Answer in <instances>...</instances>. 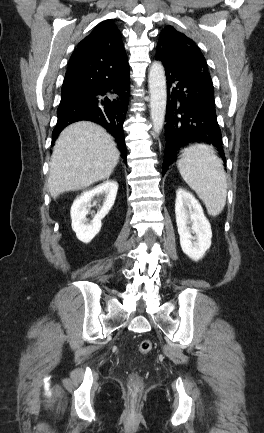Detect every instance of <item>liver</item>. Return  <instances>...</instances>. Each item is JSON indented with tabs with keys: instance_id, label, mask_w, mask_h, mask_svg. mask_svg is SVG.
<instances>
[{
	"instance_id": "obj_1",
	"label": "liver",
	"mask_w": 264,
	"mask_h": 433,
	"mask_svg": "<svg viewBox=\"0 0 264 433\" xmlns=\"http://www.w3.org/2000/svg\"><path fill=\"white\" fill-rule=\"evenodd\" d=\"M119 157L113 138L99 125L88 121L69 125L53 148L48 178L51 196L109 178Z\"/></svg>"
}]
</instances>
